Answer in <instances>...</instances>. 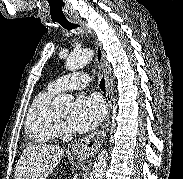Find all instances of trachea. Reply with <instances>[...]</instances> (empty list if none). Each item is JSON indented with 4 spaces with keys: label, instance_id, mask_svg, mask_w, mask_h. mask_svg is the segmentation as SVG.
I'll list each match as a JSON object with an SVG mask.
<instances>
[{
    "label": "trachea",
    "instance_id": "3493384b",
    "mask_svg": "<svg viewBox=\"0 0 183 179\" xmlns=\"http://www.w3.org/2000/svg\"><path fill=\"white\" fill-rule=\"evenodd\" d=\"M53 18H55V21L58 22L63 28L67 30H72V29H77L78 25L70 23L64 13L61 12H56L53 14ZM101 90L105 91V80L104 77L101 79L100 84H99Z\"/></svg>",
    "mask_w": 183,
    "mask_h": 179
}]
</instances>
